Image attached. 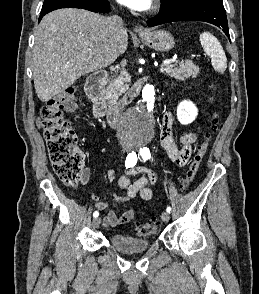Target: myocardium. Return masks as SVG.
Returning a JSON list of instances; mask_svg holds the SVG:
<instances>
[{
    "instance_id": "f54148a6",
    "label": "myocardium",
    "mask_w": 259,
    "mask_h": 294,
    "mask_svg": "<svg viewBox=\"0 0 259 294\" xmlns=\"http://www.w3.org/2000/svg\"><path fill=\"white\" fill-rule=\"evenodd\" d=\"M159 8V0H154L148 9L149 13L155 12Z\"/></svg>"
}]
</instances>
